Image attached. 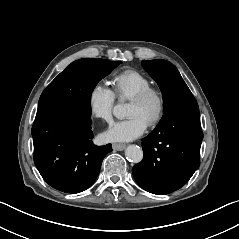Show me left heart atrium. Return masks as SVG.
Wrapping results in <instances>:
<instances>
[{"label": "left heart atrium", "instance_id": "left-heart-atrium-1", "mask_svg": "<svg viewBox=\"0 0 239 239\" xmlns=\"http://www.w3.org/2000/svg\"><path fill=\"white\" fill-rule=\"evenodd\" d=\"M147 127V121L140 115L134 114L125 120L113 123L103 137L107 141H130L143 134Z\"/></svg>", "mask_w": 239, "mask_h": 239}]
</instances>
